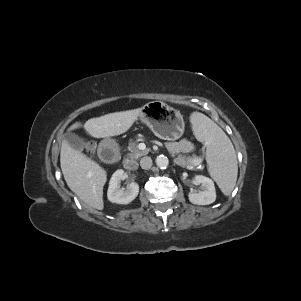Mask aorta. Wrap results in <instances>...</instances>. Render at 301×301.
Here are the masks:
<instances>
[{
  "mask_svg": "<svg viewBox=\"0 0 301 301\" xmlns=\"http://www.w3.org/2000/svg\"><path fill=\"white\" fill-rule=\"evenodd\" d=\"M156 164L159 168L161 169H165L167 168L168 164H169V160L166 156L164 155H159L156 158Z\"/></svg>",
  "mask_w": 301,
  "mask_h": 301,
  "instance_id": "1",
  "label": "aorta"
}]
</instances>
